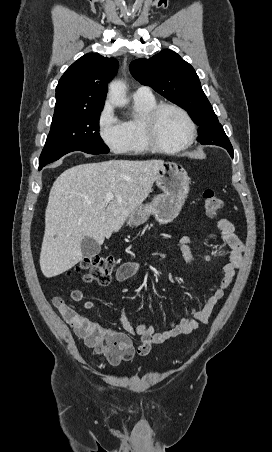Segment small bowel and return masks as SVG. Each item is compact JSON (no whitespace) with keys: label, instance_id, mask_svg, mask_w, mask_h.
Returning a JSON list of instances; mask_svg holds the SVG:
<instances>
[{"label":"small bowel","instance_id":"1","mask_svg":"<svg viewBox=\"0 0 272 452\" xmlns=\"http://www.w3.org/2000/svg\"><path fill=\"white\" fill-rule=\"evenodd\" d=\"M220 230V239L228 248V259L223 266V274L217 289L206 300L203 307L192 311V317L183 318L178 322L172 323L170 329L163 332H156L154 328L145 323H141L132 329L130 321L122 308L116 311L120 316L121 323L125 331H118L113 328L104 327L101 323L93 321L90 318L80 315L74 309H70L69 313H62L68 325L73 329L74 333L85 343L100 351L97 347L99 339L103 336H112L117 339L122 347L128 349L129 358L133 356L134 350L132 346L131 336L137 335L141 339V345L137 351L140 355L148 353L154 345L161 344L168 339L174 338L182 334H189L195 331L199 324H206L222 298L226 290L232 284L237 271L243 264L244 245L234 232L232 223L227 219H221L218 222ZM180 251L187 263L195 265L196 257L192 254L193 240L188 235H183L179 239ZM141 264L137 261H128L121 264L115 274L117 282H124L133 277L140 269ZM71 298L74 302H83V308L92 310L96 308L93 301H83L84 294L81 290L75 289L71 292ZM145 349V350H144Z\"/></svg>","mask_w":272,"mask_h":452}]
</instances>
